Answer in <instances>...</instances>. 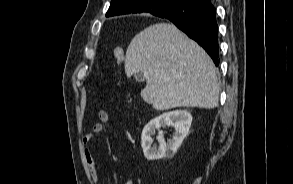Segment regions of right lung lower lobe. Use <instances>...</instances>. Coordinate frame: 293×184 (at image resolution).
I'll return each instance as SVG.
<instances>
[{"label":"right lung lower lobe","mask_w":293,"mask_h":184,"mask_svg":"<svg viewBox=\"0 0 293 184\" xmlns=\"http://www.w3.org/2000/svg\"><path fill=\"white\" fill-rule=\"evenodd\" d=\"M158 16L173 22L205 49L216 66L219 65L218 25L216 10L211 3L199 4L196 1H184Z\"/></svg>","instance_id":"98d812e1"}]
</instances>
